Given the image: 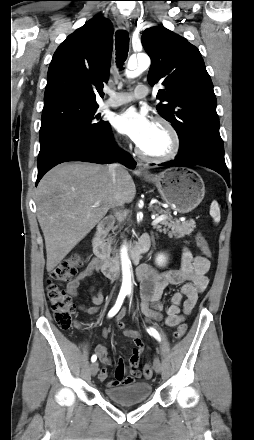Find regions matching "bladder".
<instances>
[{"mask_svg":"<svg viewBox=\"0 0 254 440\" xmlns=\"http://www.w3.org/2000/svg\"><path fill=\"white\" fill-rule=\"evenodd\" d=\"M152 385L141 381L107 388L105 394L109 399L121 404L140 403L152 395Z\"/></svg>","mask_w":254,"mask_h":440,"instance_id":"bladder-1","label":"bladder"}]
</instances>
